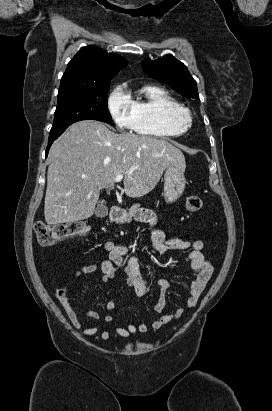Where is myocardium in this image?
Listing matches in <instances>:
<instances>
[{"label": "myocardium", "instance_id": "myocardium-1", "mask_svg": "<svg viewBox=\"0 0 272 411\" xmlns=\"http://www.w3.org/2000/svg\"><path fill=\"white\" fill-rule=\"evenodd\" d=\"M177 120H178L180 123L185 124L187 127H189V125L191 124V116H190V114L187 115V116H180V117L177 118Z\"/></svg>", "mask_w": 272, "mask_h": 411}]
</instances>
